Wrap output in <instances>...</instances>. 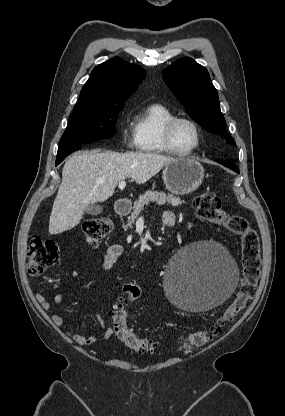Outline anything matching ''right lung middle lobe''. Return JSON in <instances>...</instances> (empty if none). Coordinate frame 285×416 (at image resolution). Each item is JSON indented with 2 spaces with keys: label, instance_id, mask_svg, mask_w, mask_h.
I'll return each mask as SVG.
<instances>
[{
  "label": "right lung middle lobe",
  "instance_id": "1",
  "mask_svg": "<svg viewBox=\"0 0 285 416\" xmlns=\"http://www.w3.org/2000/svg\"><path fill=\"white\" fill-rule=\"evenodd\" d=\"M124 102L109 105L86 106L77 104L59 147L85 144L111 137Z\"/></svg>",
  "mask_w": 285,
  "mask_h": 416
}]
</instances>
